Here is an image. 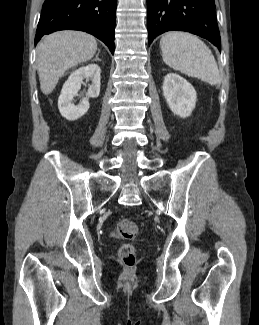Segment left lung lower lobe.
<instances>
[{"mask_svg": "<svg viewBox=\"0 0 259 325\" xmlns=\"http://www.w3.org/2000/svg\"><path fill=\"white\" fill-rule=\"evenodd\" d=\"M214 0H147L148 41L167 31H186L220 49Z\"/></svg>", "mask_w": 259, "mask_h": 325, "instance_id": "obj_1", "label": "left lung lower lobe"}]
</instances>
